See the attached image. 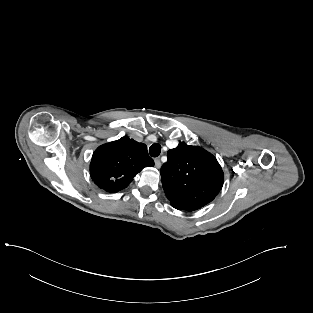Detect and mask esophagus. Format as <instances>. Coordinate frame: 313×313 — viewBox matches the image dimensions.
<instances>
[{
	"label": "esophagus",
	"mask_w": 313,
	"mask_h": 313,
	"mask_svg": "<svg viewBox=\"0 0 313 313\" xmlns=\"http://www.w3.org/2000/svg\"><path fill=\"white\" fill-rule=\"evenodd\" d=\"M154 162H155V166H156V168H160L161 167V161H160V159L159 158H155L154 159Z\"/></svg>",
	"instance_id": "34e87169"
}]
</instances>
